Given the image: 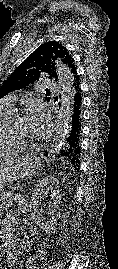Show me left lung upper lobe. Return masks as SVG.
I'll return each instance as SVG.
<instances>
[{"label": "left lung upper lobe", "instance_id": "obj_1", "mask_svg": "<svg viewBox=\"0 0 118 269\" xmlns=\"http://www.w3.org/2000/svg\"><path fill=\"white\" fill-rule=\"evenodd\" d=\"M59 59L69 67L73 77V87L79 84L74 61L67 49L56 41H49L40 45L18 68L7 78L0 88V97L9 92L25 88L39 79L42 73L49 74L50 78H57L55 60ZM49 100L48 98H45Z\"/></svg>", "mask_w": 118, "mask_h": 269}]
</instances>
